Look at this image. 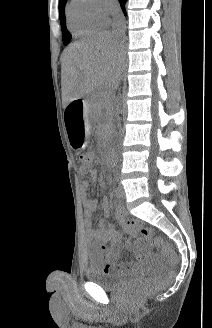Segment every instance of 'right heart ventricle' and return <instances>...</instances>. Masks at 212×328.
Instances as JSON below:
<instances>
[{
	"label": "right heart ventricle",
	"instance_id": "obj_1",
	"mask_svg": "<svg viewBox=\"0 0 212 328\" xmlns=\"http://www.w3.org/2000/svg\"><path fill=\"white\" fill-rule=\"evenodd\" d=\"M67 26L75 36H86L101 29L105 22L92 12L89 0H70L66 8Z\"/></svg>",
	"mask_w": 212,
	"mask_h": 328
}]
</instances>
